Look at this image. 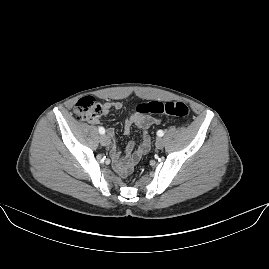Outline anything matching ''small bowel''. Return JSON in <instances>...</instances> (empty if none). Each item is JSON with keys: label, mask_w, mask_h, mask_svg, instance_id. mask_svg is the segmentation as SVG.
I'll use <instances>...</instances> for the list:
<instances>
[{"label": "small bowel", "mask_w": 269, "mask_h": 269, "mask_svg": "<svg viewBox=\"0 0 269 269\" xmlns=\"http://www.w3.org/2000/svg\"><path fill=\"white\" fill-rule=\"evenodd\" d=\"M120 102H107L103 105V112L106 114L112 109H120ZM161 122L160 118L147 117L141 114H133L131 115L123 125L124 134H129L133 125H135L142 132V142L134 151L135 144L130 141L127 143L125 148V155L121 158L120 154L116 150L115 145L112 147V161L114 167L119 170L122 174H126V166L133 164L135 161L139 160L142 156L146 155L150 149L146 148L143 144V139L146 135H148L147 129L151 125L159 124ZM93 123H97V121H93ZM107 134L109 137H114L115 132L113 128L107 129Z\"/></svg>", "instance_id": "small-bowel-1"}]
</instances>
